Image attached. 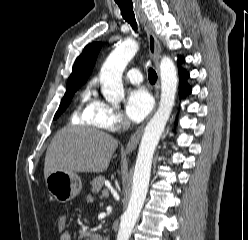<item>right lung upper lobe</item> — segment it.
Listing matches in <instances>:
<instances>
[{"label":"right lung upper lobe","mask_w":248,"mask_h":240,"mask_svg":"<svg viewBox=\"0 0 248 240\" xmlns=\"http://www.w3.org/2000/svg\"><path fill=\"white\" fill-rule=\"evenodd\" d=\"M101 47L102 44L97 42L91 43L84 48L83 52L74 63L73 70L68 81L76 80L82 83L86 82L92 72Z\"/></svg>","instance_id":"1"}]
</instances>
